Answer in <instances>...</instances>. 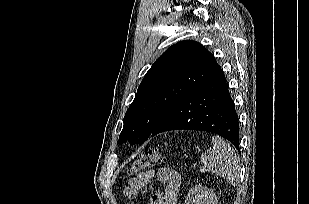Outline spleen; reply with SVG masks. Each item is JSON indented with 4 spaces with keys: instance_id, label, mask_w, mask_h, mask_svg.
I'll list each match as a JSON object with an SVG mask.
<instances>
[{
    "instance_id": "3e777b00",
    "label": "spleen",
    "mask_w": 309,
    "mask_h": 204,
    "mask_svg": "<svg viewBox=\"0 0 309 204\" xmlns=\"http://www.w3.org/2000/svg\"><path fill=\"white\" fill-rule=\"evenodd\" d=\"M212 148L201 155V162L217 176L223 177L232 185L239 180L240 160L235 149L218 136L211 139Z\"/></svg>"
}]
</instances>
